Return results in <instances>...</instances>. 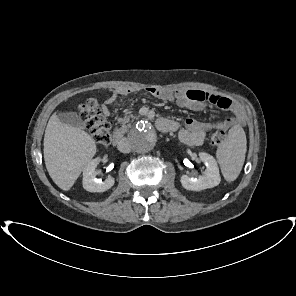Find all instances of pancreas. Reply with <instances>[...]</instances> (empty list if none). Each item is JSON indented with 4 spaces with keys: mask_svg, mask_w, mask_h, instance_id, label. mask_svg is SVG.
I'll return each instance as SVG.
<instances>
[{
    "mask_svg": "<svg viewBox=\"0 0 296 296\" xmlns=\"http://www.w3.org/2000/svg\"><path fill=\"white\" fill-rule=\"evenodd\" d=\"M134 117L132 116H124L123 118H120L118 120L119 123H121V128L120 131L122 133H125L129 130V128L131 127V124L129 123Z\"/></svg>",
    "mask_w": 296,
    "mask_h": 296,
    "instance_id": "obj_1",
    "label": "pancreas"
}]
</instances>
